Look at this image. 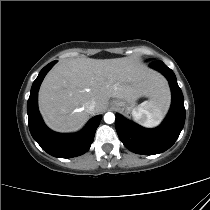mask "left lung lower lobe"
Returning <instances> with one entry per match:
<instances>
[{
	"instance_id": "0a47b994",
	"label": "left lung lower lobe",
	"mask_w": 210,
	"mask_h": 210,
	"mask_svg": "<svg viewBox=\"0 0 210 210\" xmlns=\"http://www.w3.org/2000/svg\"><path fill=\"white\" fill-rule=\"evenodd\" d=\"M150 67L160 71L169 81L172 104L167 117L155 129L143 128L120 114H116L115 121L118 136L124 146L143 155L158 154L169 149L177 140L185 122L184 98L175 74L162 61H153Z\"/></svg>"
}]
</instances>
